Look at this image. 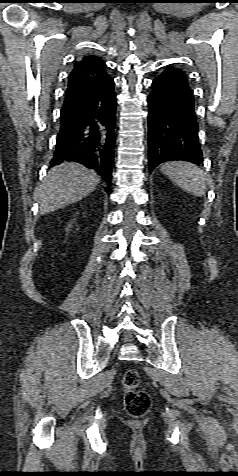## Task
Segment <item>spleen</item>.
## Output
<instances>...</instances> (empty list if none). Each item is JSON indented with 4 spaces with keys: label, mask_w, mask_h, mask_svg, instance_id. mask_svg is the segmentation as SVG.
<instances>
[{
    "label": "spleen",
    "mask_w": 238,
    "mask_h": 476,
    "mask_svg": "<svg viewBox=\"0 0 238 476\" xmlns=\"http://www.w3.org/2000/svg\"><path fill=\"white\" fill-rule=\"evenodd\" d=\"M161 171L184 191L201 197L206 193L205 173L190 162H170Z\"/></svg>",
    "instance_id": "obj_1"
}]
</instances>
